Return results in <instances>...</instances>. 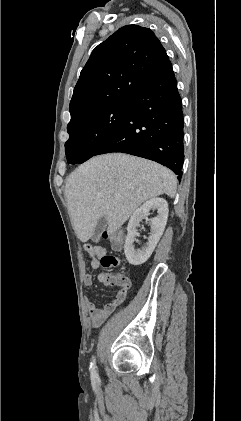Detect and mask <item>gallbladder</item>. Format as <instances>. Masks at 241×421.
<instances>
[{"mask_svg":"<svg viewBox=\"0 0 241 421\" xmlns=\"http://www.w3.org/2000/svg\"><path fill=\"white\" fill-rule=\"evenodd\" d=\"M106 227H107V219L105 217H101L92 235L93 242L97 243L99 241L100 235L106 229Z\"/></svg>","mask_w":241,"mask_h":421,"instance_id":"1","label":"gallbladder"}]
</instances>
